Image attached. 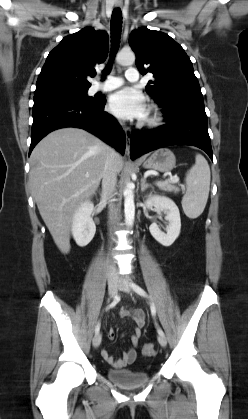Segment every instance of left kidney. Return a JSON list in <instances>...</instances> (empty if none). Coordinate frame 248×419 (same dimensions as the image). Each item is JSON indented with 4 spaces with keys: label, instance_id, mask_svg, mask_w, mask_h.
<instances>
[{
    "label": "left kidney",
    "instance_id": "obj_1",
    "mask_svg": "<svg viewBox=\"0 0 248 419\" xmlns=\"http://www.w3.org/2000/svg\"><path fill=\"white\" fill-rule=\"evenodd\" d=\"M145 204L148 209L154 207L158 213L162 211L166 213L165 219L169 222L167 233L162 232L156 223L151 224L149 230L154 239L163 246L172 245L179 236L181 229L180 213L177 205L170 198L160 195H149Z\"/></svg>",
    "mask_w": 248,
    "mask_h": 419
}]
</instances>
